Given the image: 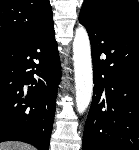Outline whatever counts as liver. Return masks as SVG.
<instances>
[{"label":"liver","instance_id":"obj_1","mask_svg":"<svg viewBox=\"0 0 139 150\" xmlns=\"http://www.w3.org/2000/svg\"><path fill=\"white\" fill-rule=\"evenodd\" d=\"M0 150H33V148L19 142H6L0 144Z\"/></svg>","mask_w":139,"mask_h":150}]
</instances>
